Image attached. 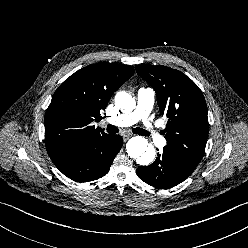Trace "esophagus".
I'll return each instance as SVG.
<instances>
[{
    "label": "esophagus",
    "mask_w": 248,
    "mask_h": 248,
    "mask_svg": "<svg viewBox=\"0 0 248 248\" xmlns=\"http://www.w3.org/2000/svg\"><path fill=\"white\" fill-rule=\"evenodd\" d=\"M131 136H132V134H130V133L123 134V139L126 141V140H128Z\"/></svg>",
    "instance_id": "esophagus-1"
}]
</instances>
